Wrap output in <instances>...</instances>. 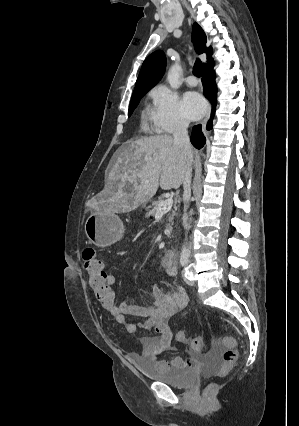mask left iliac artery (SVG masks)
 <instances>
[{
  "label": "left iliac artery",
  "mask_w": 299,
  "mask_h": 426,
  "mask_svg": "<svg viewBox=\"0 0 299 426\" xmlns=\"http://www.w3.org/2000/svg\"><path fill=\"white\" fill-rule=\"evenodd\" d=\"M188 274V278L189 279H192V270L191 271H189V272H186V274H185V276Z\"/></svg>",
  "instance_id": "left-iliac-artery-1"
}]
</instances>
